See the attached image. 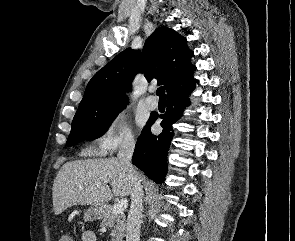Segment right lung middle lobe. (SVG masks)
Here are the masks:
<instances>
[{"label": "right lung middle lobe", "mask_w": 295, "mask_h": 241, "mask_svg": "<svg viewBox=\"0 0 295 241\" xmlns=\"http://www.w3.org/2000/svg\"><path fill=\"white\" fill-rule=\"evenodd\" d=\"M127 103L128 101L120 100L78 108L72 122L67 146H73L82 140H94L101 137Z\"/></svg>", "instance_id": "1"}]
</instances>
